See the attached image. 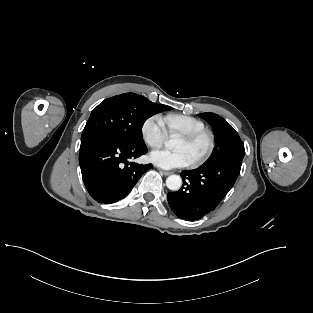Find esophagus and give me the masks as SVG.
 <instances>
[{
    "mask_svg": "<svg viewBox=\"0 0 313 313\" xmlns=\"http://www.w3.org/2000/svg\"><path fill=\"white\" fill-rule=\"evenodd\" d=\"M159 171H160L161 174H163L165 176H168V175L172 174L171 171H165V170H162V169H159Z\"/></svg>",
    "mask_w": 313,
    "mask_h": 313,
    "instance_id": "obj_1",
    "label": "esophagus"
}]
</instances>
